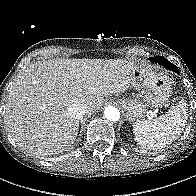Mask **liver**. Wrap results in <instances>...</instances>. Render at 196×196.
I'll use <instances>...</instances> for the list:
<instances>
[{"label": "liver", "instance_id": "liver-1", "mask_svg": "<svg viewBox=\"0 0 196 196\" xmlns=\"http://www.w3.org/2000/svg\"><path fill=\"white\" fill-rule=\"evenodd\" d=\"M134 63L121 59H52L31 64L19 74L6 102L8 132L21 149L45 156L67 150L78 135L79 120L68 114L73 103L95 111L104 96L125 92Z\"/></svg>", "mask_w": 196, "mask_h": 196}]
</instances>
